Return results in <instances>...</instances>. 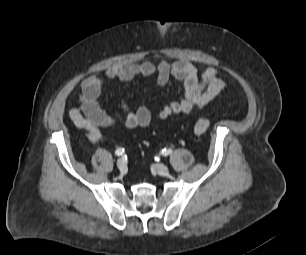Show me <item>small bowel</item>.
Masks as SVG:
<instances>
[{"mask_svg":"<svg viewBox=\"0 0 306 255\" xmlns=\"http://www.w3.org/2000/svg\"><path fill=\"white\" fill-rule=\"evenodd\" d=\"M136 76H156L157 84L161 87L172 80L181 83V98L165 105L158 112L160 120H166L172 115H188L195 107L204 108L225 89V82L215 67H208L199 74L197 68L186 60L115 64L104 74L95 73L84 79L79 95L80 105L69 110L71 121L87 132L90 142L98 141L103 129L113 127L117 122V118L106 113L99 103L105 81L117 79L127 82ZM120 108L124 113L123 132L150 125L152 114L146 106L140 104L132 108L123 102Z\"/></svg>","mask_w":306,"mask_h":255,"instance_id":"small-bowel-1","label":"small bowel"}]
</instances>
